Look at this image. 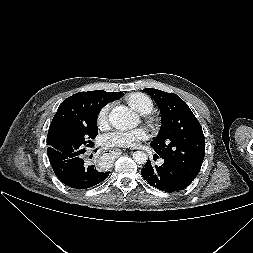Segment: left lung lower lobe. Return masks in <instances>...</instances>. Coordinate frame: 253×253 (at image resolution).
I'll return each mask as SVG.
<instances>
[{"label":"left lung lower lobe","mask_w":253,"mask_h":253,"mask_svg":"<svg viewBox=\"0 0 253 253\" xmlns=\"http://www.w3.org/2000/svg\"><path fill=\"white\" fill-rule=\"evenodd\" d=\"M141 175L151 186L169 193L186 188L195 179V176L167 159H164L161 166L151 164L148 159L141 169Z\"/></svg>","instance_id":"left-lung-lower-lobe-1"}]
</instances>
